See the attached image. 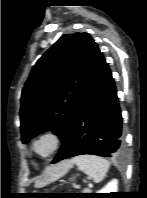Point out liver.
<instances>
[{"label":"liver","instance_id":"1","mask_svg":"<svg viewBox=\"0 0 147 198\" xmlns=\"http://www.w3.org/2000/svg\"><path fill=\"white\" fill-rule=\"evenodd\" d=\"M74 161L72 160H64L60 163H57L49 168L46 169L44 175H42L38 180L35 182V187H43L63 175H65L69 169L73 167Z\"/></svg>","mask_w":147,"mask_h":198}]
</instances>
